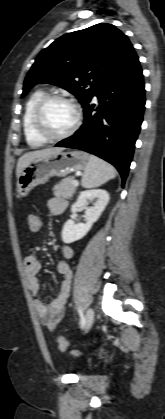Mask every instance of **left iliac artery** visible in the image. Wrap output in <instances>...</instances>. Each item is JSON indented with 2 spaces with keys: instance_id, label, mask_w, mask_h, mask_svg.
Wrapping results in <instances>:
<instances>
[{
  "instance_id": "obj_1",
  "label": "left iliac artery",
  "mask_w": 165,
  "mask_h": 419,
  "mask_svg": "<svg viewBox=\"0 0 165 419\" xmlns=\"http://www.w3.org/2000/svg\"><path fill=\"white\" fill-rule=\"evenodd\" d=\"M78 313H79V316H80V328L83 329L84 326H85V317H84L83 312L80 308H78Z\"/></svg>"
}]
</instances>
